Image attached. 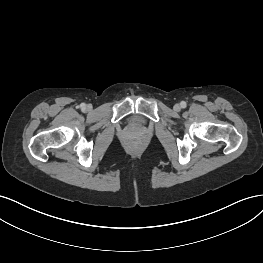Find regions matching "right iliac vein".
<instances>
[{
    "label": "right iliac vein",
    "mask_w": 263,
    "mask_h": 263,
    "mask_svg": "<svg viewBox=\"0 0 263 263\" xmlns=\"http://www.w3.org/2000/svg\"><path fill=\"white\" fill-rule=\"evenodd\" d=\"M86 109H87V110H91V109H92L91 105H87V106H86Z\"/></svg>",
    "instance_id": "obj_1"
}]
</instances>
